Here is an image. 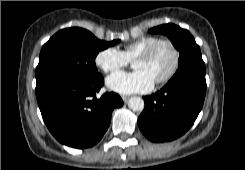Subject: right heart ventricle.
Segmentation results:
<instances>
[{
    "instance_id": "right-heart-ventricle-1",
    "label": "right heart ventricle",
    "mask_w": 245,
    "mask_h": 170,
    "mask_svg": "<svg viewBox=\"0 0 245 170\" xmlns=\"http://www.w3.org/2000/svg\"><path fill=\"white\" fill-rule=\"evenodd\" d=\"M159 39L156 36L141 37L133 42L124 46L123 53L129 60H133L137 55L146 49L150 44Z\"/></svg>"
}]
</instances>
